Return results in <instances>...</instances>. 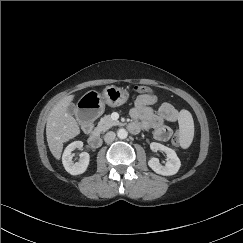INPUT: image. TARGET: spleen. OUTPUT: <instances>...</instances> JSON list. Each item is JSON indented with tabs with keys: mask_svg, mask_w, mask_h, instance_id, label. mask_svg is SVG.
I'll use <instances>...</instances> for the list:
<instances>
[{
	"mask_svg": "<svg viewBox=\"0 0 243 243\" xmlns=\"http://www.w3.org/2000/svg\"><path fill=\"white\" fill-rule=\"evenodd\" d=\"M179 122V142L184 149L188 148L194 137V122L192 115L187 110H182L178 118Z\"/></svg>",
	"mask_w": 243,
	"mask_h": 243,
	"instance_id": "3e777b00",
	"label": "spleen"
}]
</instances>
